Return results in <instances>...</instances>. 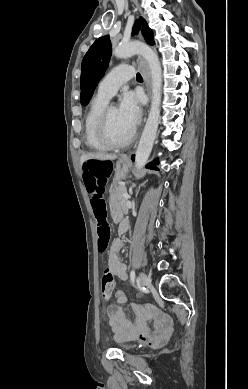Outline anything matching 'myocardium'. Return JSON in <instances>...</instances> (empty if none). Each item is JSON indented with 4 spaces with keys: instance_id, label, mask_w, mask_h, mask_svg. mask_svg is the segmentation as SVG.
Returning a JSON list of instances; mask_svg holds the SVG:
<instances>
[{
    "instance_id": "f54148a6",
    "label": "myocardium",
    "mask_w": 248,
    "mask_h": 389,
    "mask_svg": "<svg viewBox=\"0 0 248 389\" xmlns=\"http://www.w3.org/2000/svg\"><path fill=\"white\" fill-rule=\"evenodd\" d=\"M112 106L113 105H107L101 114L98 126V137L109 148L116 149L129 145L135 137V130L133 129L129 136L123 140H116L113 138L110 132V108Z\"/></svg>"
}]
</instances>
